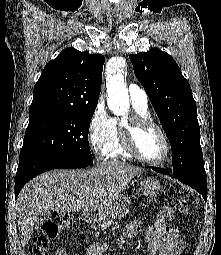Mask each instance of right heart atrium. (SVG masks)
<instances>
[{"instance_id":"obj_1","label":"right heart atrium","mask_w":221,"mask_h":255,"mask_svg":"<svg viewBox=\"0 0 221 255\" xmlns=\"http://www.w3.org/2000/svg\"><path fill=\"white\" fill-rule=\"evenodd\" d=\"M113 125V118L108 114L103 103L95 107L87 126V139L91 150L98 156L103 155V149Z\"/></svg>"}]
</instances>
